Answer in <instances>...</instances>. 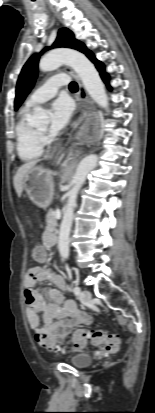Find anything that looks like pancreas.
Listing matches in <instances>:
<instances>
[{
    "label": "pancreas",
    "mask_w": 155,
    "mask_h": 413,
    "mask_svg": "<svg viewBox=\"0 0 155 413\" xmlns=\"http://www.w3.org/2000/svg\"><path fill=\"white\" fill-rule=\"evenodd\" d=\"M48 225L55 230L57 226V218L54 212L50 211L47 214Z\"/></svg>",
    "instance_id": "obj_1"
}]
</instances>
